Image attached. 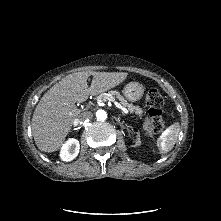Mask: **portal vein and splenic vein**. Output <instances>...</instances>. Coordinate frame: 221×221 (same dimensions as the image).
Returning a JSON list of instances; mask_svg holds the SVG:
<instances>
[{"label": "portal vein and splenic vein", "instance_id": "portal-vein-and-splenic-vein-1", "mask_svg": "<svg viewBox=\"0 0 221 221\" xmlns=\"http://www.w3.org/2000/svg\"><path fill=\"white\" fill-rule=\"evenodd\" d=\"M107 100L113 102L114 105H115L117 108H119L124 114H128V110H127L125 107H123L120 103H118L117 101H115V99H114L113 97L109 96V95L105 96L103 99L98 98V99H97V102L100 103V102H102V101H107Z\"/></svg>", "mask_w": 221, "mask_h": 221}]
</instances>
